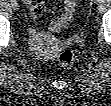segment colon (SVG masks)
<instances>
[{"mask_svg":"<svg viewBox=\"0 0 111 106\" xmlns=\"http://www.w3.org/2000/svg\"><path fill=\"white\" fill-rule=\"evenodd\" d=\"M76 2L74 0H66L64 3L63 10L61 14L49 24V30L51 32H58L61 29L67 27L69 23L73 20ZM74 62V54L70 50H65L59 54L58 63L61 66L69 67Z\"/></svg>","mask_w":111,"mask_h":106,"instance_id":"1","label":"colon"}]
</instances>
